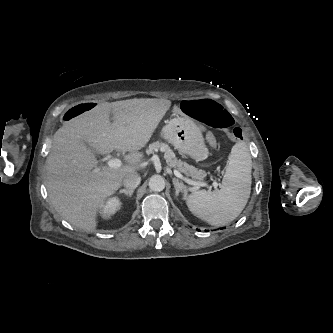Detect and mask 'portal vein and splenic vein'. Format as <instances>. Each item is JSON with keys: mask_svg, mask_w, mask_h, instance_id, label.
Segmentation results:
<instances>
[{"mask_svg": "<svg viewBox=\"0 0 333 333\" xmlns=\"http://www.w3.org/2000/svg\"><path fill=\"white\" fill-rule=\"evenodd\" d=\"M122 165V161L118 158H113V159H110L108 161V166L110 168H119L121 167ZM173 173L176 177H178L179 179L185 181L187 184L189 185H194V186H198V187H202V186H206L207 184L204 183V182H199V181H194L192 179H189L187 177H184L178 170H173ZM213 186L214 187H217L218 186V183L217 182H214L213 183Z\"/></svg>", "mask_w": 333, "mask_h": 333, "instance_id": "portal-vein-and-splenic-vein-1", "label": "portal vein and splenic vein"}]
</instances>
